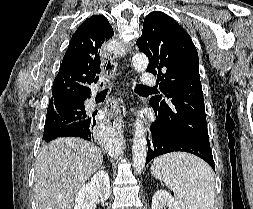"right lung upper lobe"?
Masks as SVG:
<instances>
[{"label":"right lung upper lobe","mask_w":253,"mask_h":209,"mask_svg":"<svg viewBox=\"0 0 253 209\" xmlns=\"http://www.w3.org/2000/svg\"><path fill=\"white\" fill-rule=\"evenodd\" d=\"M114 35L102 15L84 21L71 38L70 45L54 80L48 109L83 103L90 97L89 85L100 73V49Z\"/></svg>","instance_id":"cb5924a9"}]
</instances>
